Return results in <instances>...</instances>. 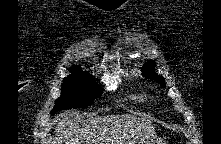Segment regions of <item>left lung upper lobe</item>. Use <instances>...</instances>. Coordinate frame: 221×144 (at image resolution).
I'll return each instance as SVG.
<instances>
[{"instance_id":"5c2ea615","label":"left lung upper lobe","mask_w":221,"mask_h":144,"mask_svg":"<svg viewBox=\"0 0 221 144\" xmlns=\"http://www.w3.org/2000/svg\"><path fill=\"white\" fill-rule=\"evenodd\" d=\"M155 62L153 61H148L146 64H144V66L142 67V74L146 77V78H149V79H152V80H155V81H158L159 84L162 86V87H165V80L162 76H159L155 73Z\"/></svg>"}]
</instances>
